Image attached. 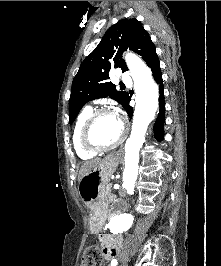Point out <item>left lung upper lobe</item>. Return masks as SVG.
<instances>
[{"label": "left lung upper lobe", "mask_w": 221, "mask_h": 266, "mask_svg": "<svg viewBox=\"0 0 221 266\" xmlns=\"http://www.w3.org/2000/svg\"><path fill=\"white\" fill-rule=\"evenodd\" d=\"M127 49L142 56L150 68L159 61L154 43L136 18L118 21L84 59L73 79L69 101L70 124L83 105L93 99L110 96L125 106L129 96L126 92L116 90L115 85L109 81V71L117 67L123 72L128 70L122 59V52Z\"/></svg>", "instance_id": "left-lung-upper-lobe-1"}]
</instances>
